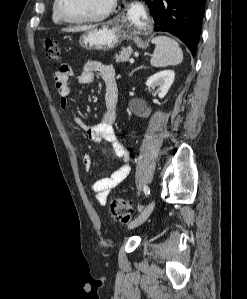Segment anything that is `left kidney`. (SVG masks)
<instances>
[{
	"mask_svg": "<svg viewBox=\"0 0 247 299\" xmlns=\"http://www.w3.org/2000/svg\"><path fill=\"white\" fill-rule=\"evenodd\" d=\"M174 78L175 72L173 70H163L149 77L146 81V85L153 90L156 89L159 96L163 98L173 84Z\"/></svg>",
	"mask_w": 247,
	"mask_h": 299,
	"instance_id": "obj_1",
	"label": "left kidney"
}]
</instances>
